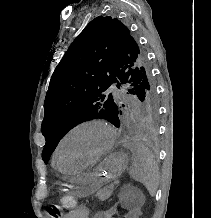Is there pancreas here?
<instances>
[{
    "instance_id": "1",
    "label": "pancreas",
    "mask_w": 211,
    "mask_h": 218,
    "mask_svg": "<svg viewBox=\"0 0 211 218\" xmlns=\"http://www.w3.org/2000/svg\"><path fill=\"white\" fill-rule=\"evenodd\" d=\"M114 184H110V186H107V188H103V190H99L97 192L96 196L103 202V200H107V198H110L112 192H113Z\"/></svg>"
}]
</instances>
